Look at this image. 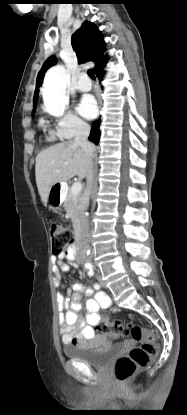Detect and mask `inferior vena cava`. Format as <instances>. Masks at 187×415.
<instances>
[{
	"label": "inferior vena cava",
	"instance_id": "1",
	"mask_svg": "<svg viewBox=\"0 0 187 415\" xmlns=\"http://www.w3.org/2000/svg\"><path fill=\"white\" fill-rule=\"evenodd\" d=\"M90 134V126L87 123L80 122L77 126L76 136L74 143L79 145L85 152L88 158V170H87V184L80 199L79 204V220L81 224V248L77 252V256H86L89 250L90 242V228L89 221L86 215V210L89 206V197L91 193L92 180H93V169H92V155L94 152V145L88 141Z\"/></svg>",
	"mask_w": 187,
	"mask_h": 415
}]
</instances>
